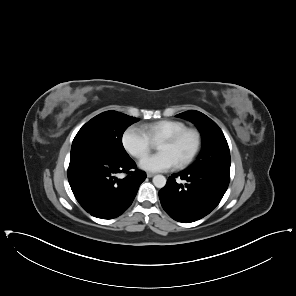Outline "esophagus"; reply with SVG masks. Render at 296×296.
<instances>
[{
    "label": "esophagus",
    "instance_id": "esophagus-1",
    "mask_svg": "<svg viewBox=\"0 0 296 296\" xmlns=\"http://www.w3.org/2000/svg\"><path fill=\"white\" fill-rule=\"evenodd\" d=\"M155 174L154 173H150V172H147V177L150 178L152 176H154Z\"/></svg>",
    "mask_w": 296,
    "mask_h": 296
}]
</instances>
